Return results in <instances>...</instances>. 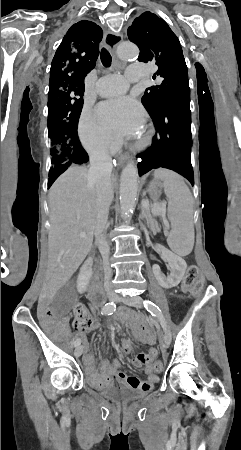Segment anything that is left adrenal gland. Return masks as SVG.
Here are the masks:
<instances>
[{
  "instance_id": "1",
  "label": "left adrenal gland",
  "mask_w": 241,
  "mask_h": 450,
  "mask_svg": "<svg viewBox=\"0 0 241 450\" xmlns=\"http://www.w3.org/2000/svg\"><path fill=\"white\" fill-rule=\"evenodd\" d=\"M141 210H142V214H143L142 218H145V216H144V208H141ZM148 226H149V224H148Z\"/></svg>"
}]
</instances>
